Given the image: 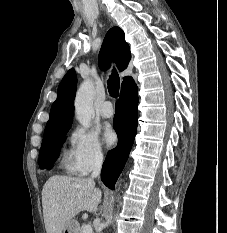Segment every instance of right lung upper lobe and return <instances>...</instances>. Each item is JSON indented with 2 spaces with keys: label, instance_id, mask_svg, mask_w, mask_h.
Returning <instances> with one entry per match:
<instances>
[{
  "label": "right lung upper lobe",
  "instance_id": "obj_1",
  "mask_svg": "<svg viewBox=\"0 0 227 233\" xmlns=\"http://www.w3.org/2000/svg\"><path fill=\"white\" fill-rule=\"evenodd\" d=\"M130 59V48L125 41L124 32L119 27L111 28L105 36L99 53L100 68L106 70L110 66V62L114 61L119 71H123L127 68ZM76 82L75 71L70 69L59 84L57 99L51 107L43 139L53 138L69 130L74 112ZM134 84L132 77H124L121 93L129 90Z\"/></svg>",
  "mask_w": 227,
  "mask_h": 233
}]
</instances>
